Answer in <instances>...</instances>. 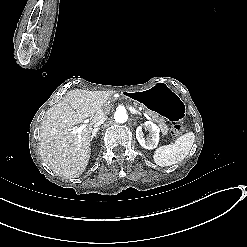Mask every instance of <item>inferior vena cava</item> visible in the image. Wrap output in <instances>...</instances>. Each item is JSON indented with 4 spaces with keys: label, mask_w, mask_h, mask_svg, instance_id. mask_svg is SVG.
<instances>
[{
    "label": "inferior vena cava",
    "mask_w": 247,
    "mask_h": 247,
    "mask_svg": "<svg viewBox=\"0 0 247 247\" xmlns=\"http://www.w3.org/2000/svg\"><path fill=\"white\" fill-rule=\"evenodd\" d=\"M107 119V117H101L95 124H94V129L98 128L99 126H101L104 121Z\"/></svg>",
    "instance_id": "602c4592"
}]
</instances>
